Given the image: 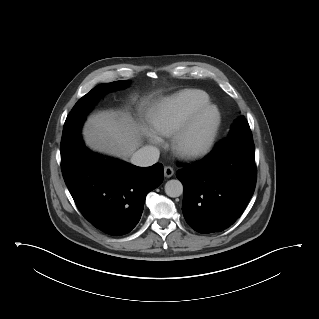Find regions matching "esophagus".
I'll list each match as a JSON object with an SVG mask.
<instances>
[{
  "label": "esophagus",
  "mask_w": 319,
  "mask_h": 319,
  "mask_svg": "<svg viewBox=\"0 0 319 319\" xmlns=\"http://www.w3.org/2000/svg\"><path fill=\"white\" fill-rule=\"evenodd\" d=\"M164 174H165V176L168 177V178L171 177V176H173V174H174L173 168L170 167V166H165V167H164Z\"/></svg>",
  "instance_id": "34e87169"
}]
</instances>
